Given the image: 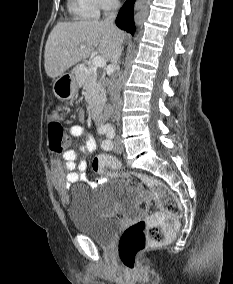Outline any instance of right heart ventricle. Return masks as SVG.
I'll list each match as a JSON object with an SVG mask.
<instances>
[{
	"mask_svg": "<svg viewBox=\"0 0 233 284\" xmlns=\"http://www.w3.org/2000/svg\"><path fill=\"white\" fill-rule=\"evenodd\" d=\"M69 8L82 19L94 20L99 17V8L94 0H71Z\"/></svg>",
	"mask_w": 233,
	"mask_h": 284,
	"instance_id": "right-heart-ventricle-1",
	"label": "right heart ventricle"
}]
</instances>
